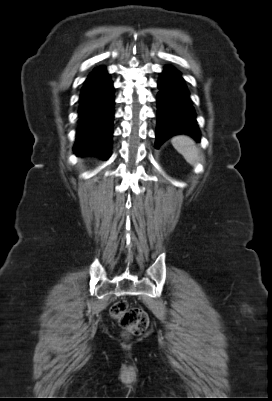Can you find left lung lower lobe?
<instances>
[{
  "instance_id": "1",
  "label": "left lung lower lobe",
  "mask_w": 272,
  "mask_h": 401,
  "mask_svg": "<svg viewBox=\"0 0 272 401\" xmlns=\"http://www.w3.org/2000/svg\"><path fill=\"white\" fill-rule=\"evenodd\" d=\"M158 88L156 148L177 134H188L199 141L195 111L180 73L173 67H165L160 75Z\"/></svg>"
}]
</instances>
